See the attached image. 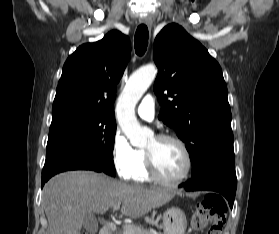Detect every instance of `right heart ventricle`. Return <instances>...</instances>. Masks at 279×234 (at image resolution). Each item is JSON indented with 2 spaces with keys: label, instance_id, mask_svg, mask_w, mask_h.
<instances>
[{
  "label": "right heart ventricle",
  "instance_id": "right-heart-ventricle-1",
  "mask_svg": "<svg viewBox=\"0 0 279 234\" xmlns=\"http://www.w3.org/2000/svg\"><path fill=\"white\" fill-rule=\"evenodd\" d=\"M128 179L136 183H145L150 181L144 150H136L135 162L130 171Z\"/></svg>",
  "mask_w": 279,
  "mask_h": 234
}]
</instances>
